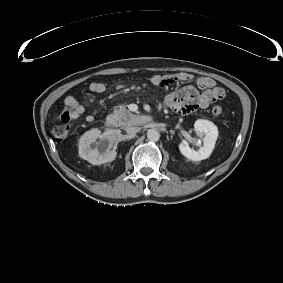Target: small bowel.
Returning a JSON list of instances; mask_svg holds the SVG:
<instances>
[{
  "mask_svg": "<svg viewBox=\"0 0 283 283\" xmlns=\"http://www.w3.org/2000/svg\"><path fill=\"white\" fill-rule=\"evenodd\" d=\"M192 75L180 72L170 77H163L159 74H152L149 81L154 86H167L174 83L186 82L192 79ZM89 90L93 93L101 94L106 90V86L102 82H92ZM225 97V91L216 86L213 79L209 77H198L196 86H185L168 94L164 99V104L179 112L180 114H188L196 109L207 108L215 101ZM63 113L61 118L68 121L77 120L85 113V107L73 96L69 95L63 102ZM87 122H93L94 116L87 115Z\"/></svg>",
  "mask_w": 283,
  "mask_h": 283,
  "instance_id": "1",
  "label": "small bowel"
}]
</instances>
